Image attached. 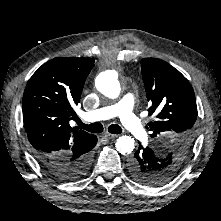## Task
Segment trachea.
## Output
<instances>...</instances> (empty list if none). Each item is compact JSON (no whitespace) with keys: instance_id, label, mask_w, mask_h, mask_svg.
<instances>
[{"instance_id":"obj_1","label":"trachea","mask_w":221,"mask_h":221,"mask_svg":"<svg viewBox=\"0 0 221 221\" xmlns=\"http://www.w3.org/2000/svg\"><path fill=\"white\" fill-rule=\"evenodd\" d=\"M78 127L84 129L91 133H101L103 131V125L100 122H95L91 124H84L80 119H76ZM108 131L112 134H120L122 133V129L117 124H111L108 127Z\"/></svg>"}]
</instances>
